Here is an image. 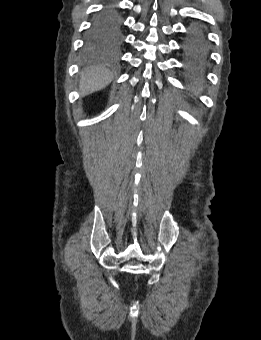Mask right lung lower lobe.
I'll list each match as a JSON object with an SVG mask.
<instances>
[{"label":"right lung lower lobe","mask_w":261,"mask_h":340,"mask_svg":"<svg viewBox=\"0 0 261 340\" xmlns=\"http://www.w3.org/2000/svg\"><path fill=\"white\" fill-rule=\"evenodd\" d=\"M115 0H107V6L102 10V12L109 14H119L117 8L114 6Z\"/></svg>","instance_id":"right-lung-lower-lobe-1"}]
</instances>
